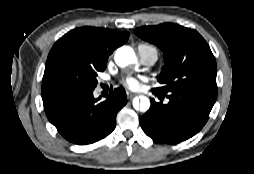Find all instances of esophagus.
<instances>
[{
    "mask_svg": "<svg viewBox=\"0 0 254 174\" xmlns=\"http://www.w3.org/2000/svg\"><path fill=\"white\" fill-rule=\"evenodd\" d=\"M135 96H136V94L127 92V98H128L129 100H131V99L134 98Z\"/></svg>",
    "mask_w": 254,
    "mask_h": 174,
    "instance_id": "obj_1",
    "label": "esophagus"
}]
</instances>
